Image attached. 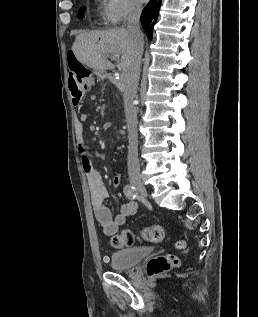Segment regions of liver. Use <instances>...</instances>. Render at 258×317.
I'll use <instances>...</instances> for the list:
<instances>
[{
    "label": "liver",
    "instance_id": "obj_1",
    "mask_svg": "<svg viewBox=\"0 0 258 317\" xmlns=\"http://www.w3.org/2000/svg\"><path fill=\"white\" fill-rule=\"evenodd\" d=\"M72 50L79 62L94 70L115 68V64L107 58L109 54H122L121 68L128 70L134 54L131 34L126 28L81 32L77 34Z\"/></svg>",
    "mask_w": 258,
    "mask_h": 317
}]
</instances>
